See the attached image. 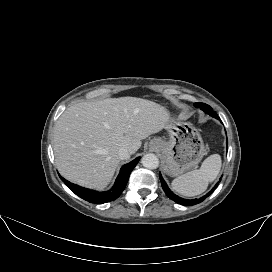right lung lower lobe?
<instances>
[{
	"mask_svg": "<svg viewBox=\"0 0 272 272\" xmlns=\"http://www.w3.org/2000/svg\"><path fill=\"white\" fill-rule=\"evenodd\" d=\"M139 160H140V157H137L133 161L122 166L114 186L109 191H106V192H98L95 190L83 188V187L70 183L69 181L62 178L61 176L60 178L67 185V187L76 195H78L80 198L95 204L106 203V202L113 201L120 196V194L125 189V186L128 182L131 171L137 165Z\"/></svg>",
	"mask_w": 272,
	"mask_h": 272,
	"instance_id": "right-lung-lower-lobe-1",
	"label": "right lung lower lobe"
}]
</instances>
